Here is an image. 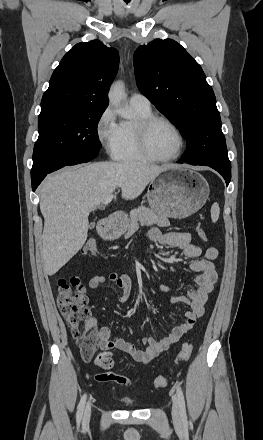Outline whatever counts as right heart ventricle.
Masks as SVG:
<instances>
[{
    "mask_svg": "<svg viewBox=\"0 0 263 440\" xmlns=\"http://www.w3.org/2000/svg\"><path fill=\"white\" fill-rule=\"evenodd\" d=\"M137 119L144 118L152 114L151 109H137L133 108ZM133 125L129 123H122L121 137L118 147L114 153V158L119 161H143L146 160L137 150L133 132Z\"/></svg>",
    "mask_w": 263,
    "mask_h": 440,
    "instance_id": "obj_1",
    "label": "right heart ventricle"
}]
</instances>
